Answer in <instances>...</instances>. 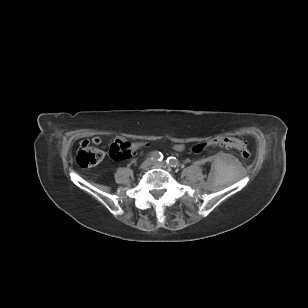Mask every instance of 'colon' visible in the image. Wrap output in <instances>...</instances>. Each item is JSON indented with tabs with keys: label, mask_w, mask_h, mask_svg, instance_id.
Masks as SVG:
<instances>
[{
	"label": "colon",
	"mask_w": 308,
	"mask_h": 308,
	"mask_svg": "<svg viewBox=\"0 0 308 308\" xmlns=\"http://www.w3.org/2000/svg\"><path fill=\"white\" fill-rule=\"evenodd\" d=\"M223 146L229 149L236 150L244 159L250 157V152L244 142L235 137H215L206 142L199 143L193 146L194 153H200L207 147ZM141 147L153 148L154 142L147 140L131 139L130 143L121 139H116L115 143L110 148V156L116 161L130 159L133 151H140ZM104 157L101 150L90 146L88 140L80 143L76 155V162L82 168H89L99 164Z\"/></svg>",
	"instance_id": "obj_1"
}]
</instances>
